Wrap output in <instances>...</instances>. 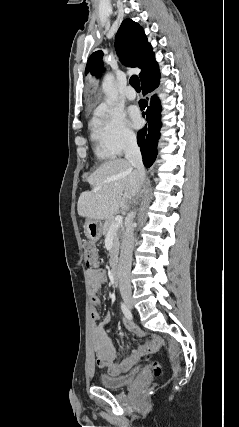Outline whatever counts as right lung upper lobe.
Returning <instances> with one entry per match:
<instances>
[{
  "mask_svg": "<svg viewBox=\"0 0 239 427\" xmlns=\"http://www.w3.org/2000/svg\"><path fill=\"white\" fill-rule=\"evenodd\" d=\"M115 49L121 62L130 67H138L141 82L159 74L152 47L148 43L144 30L131 19H125L115 37ZM102 51L94 52L88 59L86 73L91 71L100 76L102 72Z\"/></svg>",
  "mask_w": 239,
  "mask_h": 427,
  "instance_id": "obj_1",
  "label": "right lung upper lobe"
}]
</instances>
